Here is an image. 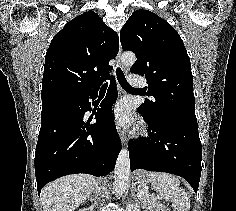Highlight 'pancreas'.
Wrapping results in <instances>:
<instances>
[{
    "mask_svg": "<svg viewBox=\"0 0 236 211\" xmlns=\"http://www.w3.org/2000/svg\"><path fill=\"white\" fill-rule=\"evenodd\" d=\"M139 200L142 202L143 206L146 208H149V209L162 208L161 204L156 200V198L150 196L149 194H143Z\"/></svg>",
    "mask_w": 236,
    "mask_h": 211,
    "instance_id": "pancreas-1",
    "label": "pancreas"
}]
</instances>
